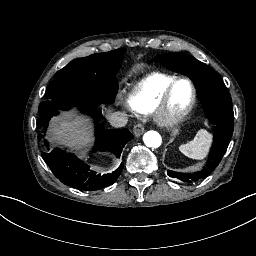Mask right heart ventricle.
I'll use <instances>...</instances> for the list:
<instances>
[{"label":"right heart ventricle","mask_w":256,"mask_h":256,"mask_svg":"<svg viewBox=\"0 0 256 256\" xmlns=\"http://www.w3.org/2000/svg\"><path fill=\"white\" fill-rule=\"evenodd\" d=\"M177 79L173 74L152 73L135 88L132 98L155 102Z\"/></svg>","instance_id":"e07e8e85"}]
</instances>
